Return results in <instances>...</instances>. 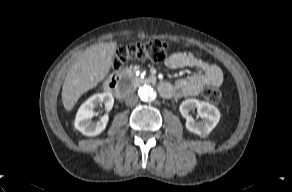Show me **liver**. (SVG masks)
<instances>
[{
	"label": "liver",
	"mask_w": 292,
	"mask_h": 192,
	"mask_svg": "<svg viewBox=\"0 0 292 192\" xmlns=\"http://www.w3.org/2000/svg\"><path fill=\"white\" fill-rule=\"evenodd\" d=\"M116 42L99 43L81 53L68 71L62 87V103L71 111L79 98L96 87L108 74Z\"/></svg>",
	"instance_id": "obj_1"
}]
</instances>
